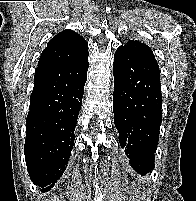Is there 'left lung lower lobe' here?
I'll list each match as a JSON object with an SVG mask.
<instances>
[{
	"mask_svg": "<svg viewBox=\"0 0 196 201\" xmlns=\"http://www.w3.org/2000/svg\"><path fill=\"white\" fill-rule=\"evenodd\" d=\"M113 111L120 146L133 169L154 168L162 122L160 71L156 59L127 43L115 52Z\"/></svg>",
	"mask_w": 196,
	"mask_h": 201,
	"instance_id": "left-lung-lower-lobe-1",
	"label": "left lung lower lobe"
}]
</instances>
